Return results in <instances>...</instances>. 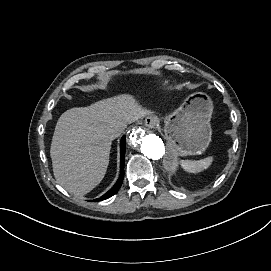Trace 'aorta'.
<instances>
[{"label": "aorta", "mask_w": 271, "mask_h": 271, "mask_svg": "<svg viewBox=\"0 0 271 271\" xmlns=\"http://www.w3.org/2000/svg\"><path fill=\"white\" fill-rule=\"evenodd\" d=\"M128 145L149 159L160 160L163 158L166 166L171 170L176 166L177 151L173 147L168 146L167 148L159 136L149 133L143 127H136L130 131Z\"/></svg>", "instance_id": "aorta-1"}]
</instances>
